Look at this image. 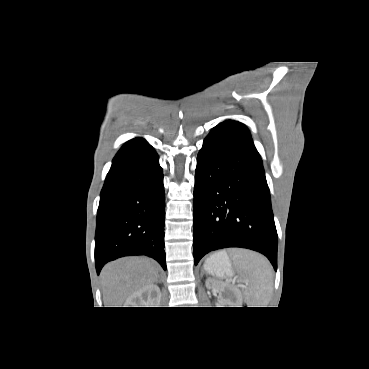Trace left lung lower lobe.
<instances>
[{
    "instance_id": "obj_1",
    "label": "left lung lower lobe",
    "mask_w": 369,
    "mask_h": 369,
    "mask_svg": "<svg viewBox=\"0 0 369 369\" xmlns=\"http://www.w3.org/2000/svg\"><path fill=\"white\" fill-rule=\"evenodd\" d=\"M194 264L208 252L242 247L277 270V231L261 157L247 127L227 120L212 129L197 157Z\"/></svg>"
}]
</instances>
